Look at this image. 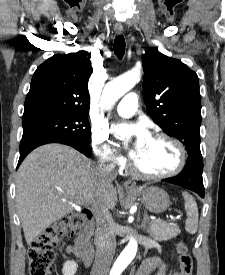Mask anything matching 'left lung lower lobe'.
Instances as JSON below:
<instances>
[{"mask_svg": "<svg viewBox=\"0 0 225 275\" xmlns=\"http://www.w3.org/2000/svg\"><path fill=\"white\" fill-rule=\"evenodd\" d=\"M203 159L201 153L189 154L187 163L182 172L172 178L163 179V182L173 183L192 190L204 198L202 179Z\"/></svg>", "mask_w": 225, "mask_h": 275, "instance_id": "obj_1", "label": "left lung lower lobe"}]
</instances>
